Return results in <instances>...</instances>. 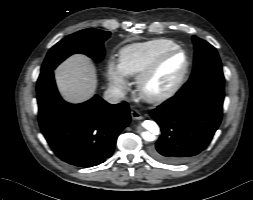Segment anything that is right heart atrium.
I'll return each mask as SVG.
<instances>
[{
	"label": "right heart atrium",
	"instance_id": "right-heart-atrium-1",
	"mask_svg": "<svg viewBox=\"0 0 253 200\" xmlns=\"http://www.w3.org/2000/svg\"><path fill=\"white\" fill-rule=\"evenodd\" d=\"M105 72L107 80L113 90L119 95H124L129 88V84L119 63L114 59H109L106 63Z\"/></svg>",
	"mask_w": 253,
	"mask_h": 200
}]
</instances>
